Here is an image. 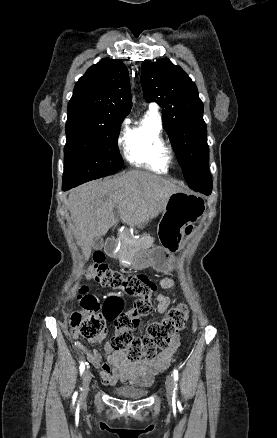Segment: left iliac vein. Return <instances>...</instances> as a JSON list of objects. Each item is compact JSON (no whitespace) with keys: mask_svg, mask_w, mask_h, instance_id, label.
Wrapping results in <instances>:
<instances>
[{"mask_svg":"<svg viewBox=\"0 0 277 438\" xmlns=\"http://www.w3.org/2000/svg\"><path fill=\"white\" fill-rule=\"evenodd\" d=\"M165 385H166L167 400L169 401V403H172L174 400V390H173L174 380L172 375H168L166 377Z\"/></svg>","mask_w":277,"mask_h":438,"instance_id":"4c4485c4","label":"left iliac vein"}]
</instances>
